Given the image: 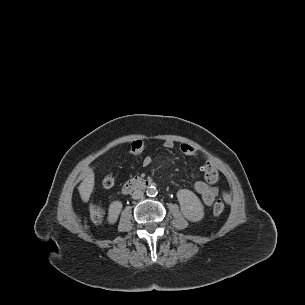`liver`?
Segmentation results:
<instances>
[{
    "instance_id": "obj_1",
    "label": "liver",
    "mask_w": 305,
    "mask_h": 305,
    "mask_svg": "<svg viewBox=\"0 0 305 305\" xmlns=\"http://www.w3.org/2000/svg\"><path fill=\"white\" fill-rule=\"evenodd\" d=\"M94 172L87 168L85 170V177L82 181V183L79 185L78 190L81 196V199L84 202H87L90 198V195L94 188Z\"/></svg>"
}]
</instances>
